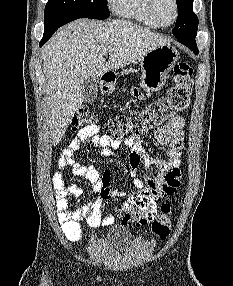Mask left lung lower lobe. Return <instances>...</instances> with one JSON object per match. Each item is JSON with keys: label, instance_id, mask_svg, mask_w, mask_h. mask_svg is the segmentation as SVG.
<instances>
[{"label": "left lung lower lobe", "instance_id": "1", "mask_svg": "<svg viewBox=\"0 0 233 286\" xmlns=\"http://www.w3.org/2000/svg\"><path fill=\"white\" fill-rule=\"evenodd\" d=\"M195 37L196 35H193V36H188V37L177 38V40L180 43L187 46L188 48H190L195 54H198V48L196 45Z\"/></svg>", "mask_w": 233, "mask_h": 286}]
</instances>
